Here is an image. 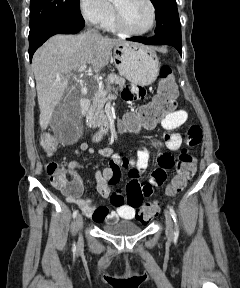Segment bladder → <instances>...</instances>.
Segmentation results:
<instances>
[{"label":"bladder","mask_w":240,"mask_h":288,"mask_svg":"<svg viewBox=\"0 0 240 288\" xmlns=\"http://www.w3.org/2000/svg\"><path fill=\"white\" fill-rule=\"evenodd\" d=\"M141 230L139 225L131 221H119L103 227V231L113 235H134Z\"/></svg>","instance_id":"obj_1"}]
</instances>
